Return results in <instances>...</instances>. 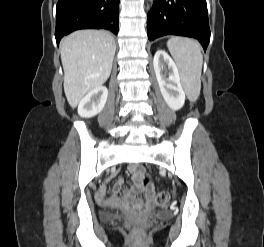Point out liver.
I'll return each instance as SVG.
<instances>
[{
	"label": "liver",
	"instance_id": "1",
	"mask_svg": "<svg viewBox=\"0 0 264 247\" xmlns=\"http://www.w3.org/2000/svg\"><path fill=\"white\" fill-rule=\"evenodd\" d=\"M60 47L64 92L75 108L87 93L109 78L116 44L106 31L80 30L65 37Z\"/></svg>",
	"mask_w": 264,
	"mask_h": 247
}]
</instances>
